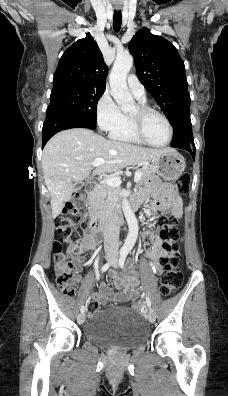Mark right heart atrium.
<instances>
[{
	"instance_id": "d8ad5b80",
	"label": "right heart atrium",
	"mask_w": 228,
	"mask_h": 396,
	"mask_svg": "<svg viewBox=\"0 0 228 396\" xmlns=\"http://www.w3.org/2000/svg\"><path fill=\"white\" fill-rule=\"evenodd\" d=\"M96 121L100 130L111 132L125 121V114L114 101L111 93L105 91L96 105Z\"/></svg>"
}]
</instances>
